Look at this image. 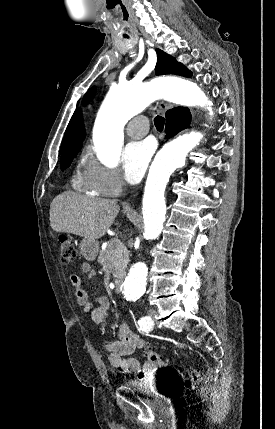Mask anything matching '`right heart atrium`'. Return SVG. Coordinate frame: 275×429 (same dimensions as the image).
<instances>
[{
	"mask_svg": "<svg viewBox=\"0 0 275 429\" xmlns=\"http://www.w3.org/2000/svg\"><path fill=\"white\" fill-rule=\"evenodd\" d=\"M83 178L92 192L106 197L119 195L124 187L117 170L102 165L91 156L86 159Z\"/></svg>",
	"mask_w": 275,
	"mask_h": 429,
	"instance_id": "right-heart-atrium-1",
	"label": "right heart atrium"
}]
</instances>
